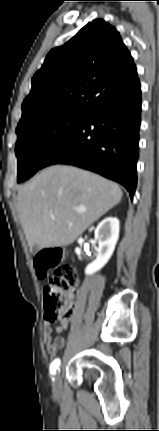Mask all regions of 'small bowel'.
<instances>
[{"instance_id": "c3829d8e", "label": "small bowel", "mask_w": 159, "mask_h": 431, "mask_svg": "<svg viewBox=\"0 0 159 431\" xmlns=\"http://www.w3.org/2000/svg\"><path fill=\"white\" fill-rule=\"evenodd\" d=\"M68 304H72L73 295L68 293L67 295ZM68 324L66 320H61L60 324L55 327V332L58 334L56 337L52 336L53 328L50 321H46L44 323L43 328V338L46 349L49 354L55 355L58 351H60L66 343V340L63 334L67 331Z\"/></svg>"}]
</instances>
